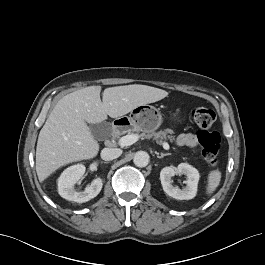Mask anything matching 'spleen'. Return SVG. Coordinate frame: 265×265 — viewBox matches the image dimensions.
Returning a JSON list of instances; mask_svg holds the SVG:
<instances>
[{"label":"spleen","instance_id":"3e777b00","mask_svg":"<svg viewBox=\"0 0 265 265\" xmlns=\"http://www.w3.org/2000/svg\"><path fill=\"white\" fill-rule=\"evenodd\" d=\"M221 181V172L219 169L212 170L209 172L207 177L206 193L211 195L216 188L219 186Z\"/></svg>","mask_w":265,"mask_h":265}]
</instances>
